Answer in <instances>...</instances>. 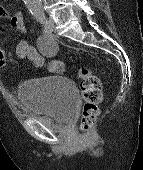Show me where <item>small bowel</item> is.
<instances>
[{
  "label": "small bowel",
  "instance_id": "small-bowel-1",
  "mask_svg": "<svg viewBox=\"0 0 143 170\" xmlns=\"http://www.w3.org/2000/svg\"><path fill=\"white\" fill-rule=\"evenodd\" d=\"M8 18L9 22L7 24L0 23V29L6 27H12L17 31L24 33L26 31V25L22 13L16 12L11 15L10 12L0 5V19ZM54 47V46H53ZM16 56L19 59H26L33 62L34 66L37 68H46L51 72H57L56 66L62 63L59 60L47 61L46 57L39 53L34 47H32L26 40H21L16 46ZM6 66L5 51L0 46V68Z\"/></svg>",
  "mask_w": 143,
  "mask_h": 170
}]
</instances>
